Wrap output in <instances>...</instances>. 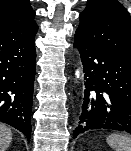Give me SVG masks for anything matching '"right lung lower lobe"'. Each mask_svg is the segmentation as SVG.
Here are the masks:
<instances>
[{"instance_id":"obj_1","label":"right lung lower lobe","mask_w":131,"mask_h":151,"mask_svg":"<svg viewBox=\"0 0 131 151\" xmlns=\"http://www.w3.org/2000/svg\"><path fill=\"white\" fill-rule=\"evenodd\" d=\"M36 33L0 39V122L24 133L28 142L36 73Z\"/></svg>"}]
</instances>
